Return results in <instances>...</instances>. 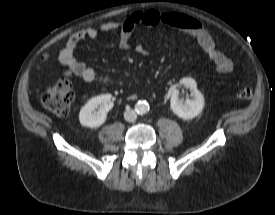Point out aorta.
<instances>
[{"mask_svg":"<svg viewBox=\"0 0 275 215\" xmlns=\"http://www.w3.org/2000/svg\"><path fill=\"white\" fill-rule=\"evenodd\" d=\"M149 104L146 101H139L136 104V109L138 111V113L140 114H145L149 111Z\"/></svg>","mask_w":275,"mask_h":215,"instance_id":"762f6f07","label":"aorta"}]
</instances>
